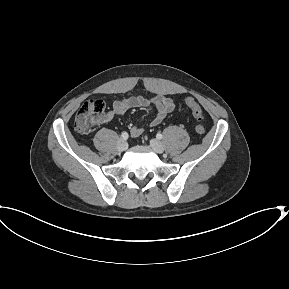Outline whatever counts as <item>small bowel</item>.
<instances>
[{
    "mask_svg": "<svg viewBox=\"0 0 289 289\" xmlns=\"http://www.w3.org/2000/svg\"><path fill=\"white\" fill-rule=\"evenodd\" d=\"M140 107H153L155 109L154 118L149 123V126L154 127L160 124L169 113L174 111L175 104L171 98L163 95L150 99L142 95H134L114 101L111 110L103 115L100 122H108L114 116L123 115L129 109ZM143 130V127L134 125L130 129V133L132 136L138 137L142 134Z\"/></svg>",
    "mask_w": 289,
    "mask_h": 289,
    "instance_id": "small-bowel-1",
    "label": "small bowel"
}]
</instances>
